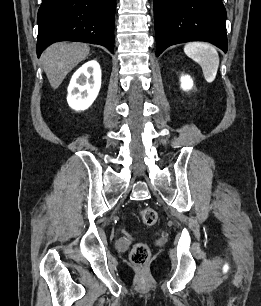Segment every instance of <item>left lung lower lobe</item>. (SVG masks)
<instances>
[{
	"mask_svg": "<svg viewBox=\"0 0 261 306\" xmlns=\"http://www.w3.org/2000/svg\"><path fill=\"white\" fill-rule=\"evenodd\" d=\"M156 56L167 47L207 41L227 52L226 10L221 0H153Z\"/></svg>",
	"mask_w": 261,
	"mask_h": 306,
	"instance_id": "0a47b994",
	"label": "left lung lower lobe"
}]
</instances>
